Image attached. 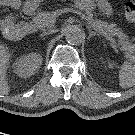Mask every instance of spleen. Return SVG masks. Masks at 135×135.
Instances as JSON below:
<instances>
[{"instance_id": "1", "label": "spleen", "mask_w": 135, "mask_h": 135, "mask_svg": "<svg viewBox=\"0 0 135 135\" xmlns=\"http://www.w3.org/2000/svg\"><path fill=\"white\" fill-rule=\"evenodd\" d=\"M119 85L121 88H129L135 85V64L124 63L120 67Z\"/></svg>"}]
</instances>
